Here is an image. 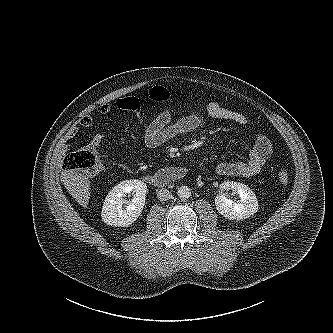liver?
<instances>
[{"label":"liver","mask_w":333,"mask_h":333,"mask_svg":"<svg viewBox=\"0 0 333 333\" xmlns=\"http://www.w3.org/2000/svg\"><path fill=\"white\" fill-rule=\"evenodd\" d=\"M88 178V175L73 169L63 170L60 174L64 187L84 208L88 206L90 199L91 184Z\"/></svg>","instance_id":"obj_1"}]
</instances>
